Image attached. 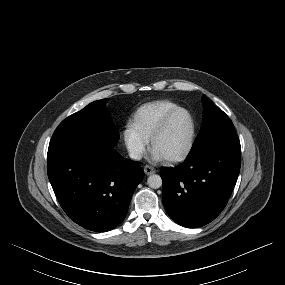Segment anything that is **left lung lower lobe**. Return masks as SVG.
<instances>
[{"instance_id": "1", "label": "left lung lower lobe", "mask_w": 285, "mask_h": 285, "mask_svg": "<svg viewBox=\"0 0 285 285\" xmlns=\"http://www.w3.org/2000/svg\"><path fill=\"white\" fill-rule=\"evenodd\" d=\"M240 164L241 147H227L187 157L174 169L162 170V200L169 216L187 228L214 220L228 202Z\"/></svg>"}]
</instances>
